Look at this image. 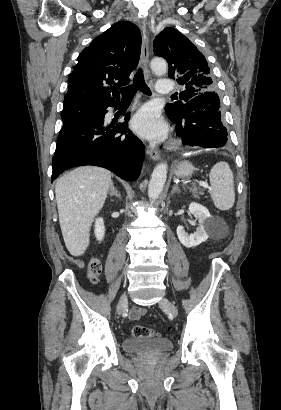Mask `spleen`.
<instances>
[{
	"label": "spleen",
	"instance_id": "spleen-1",
	"mask_svg": "<svg viewBox=\"0 0 281 410\" xmlns=\"http://www.w3.org/2000/svg\"><path fill=\"white\" fill-rule=\"evenodd\" d=\"M210 194L214 205L219 210H229L235 202L233 173L228 163H216L209 173Z\"/></svg>",
	"mask_w": 281,
	"mask_h": 410
}]
</instances>
